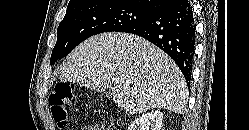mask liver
<instances>
[{
  "mask_svg": "<svg viewBox=\"0 0 249 130\" xmlns=\"http://www.w3.org/2000/svg\"><path fill=\"white\" fill-rule=\"evenodd\" d=\"M59 80L112 90L113 100L131 114L165 108L182 114L186 81L176 63L147 40L127 33H103L78 45L63 63Z\"/></svg>",
  "mask_w": 249,
  "mask_h": 130,
  "instance_id": "1",
  "label": "liver"
}]
</instances>
